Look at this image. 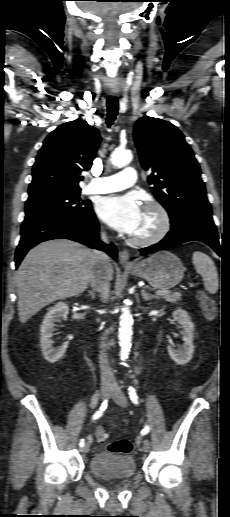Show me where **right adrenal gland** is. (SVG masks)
Wrapping results in <instances>:
<instances>
[{"label":"right adrenal gland","mask_w":230,"mask_h":517,"mask_svg":"<svg viewBox=\"0 0 230 517\" xmlns=\"http://www.w3.org/2000/svg\"><path fill=\"white\" fill-rule=\"evenodd\" d=\"M89 296H91L92 299L95 298L94 292L91 290H88Z\"/></svg>","instance_id":"obj_1"}]
</instances>
